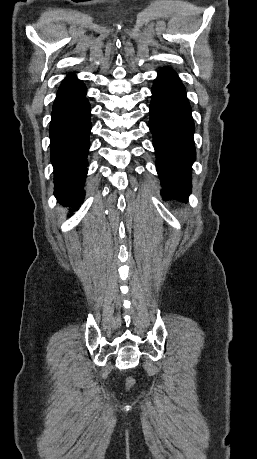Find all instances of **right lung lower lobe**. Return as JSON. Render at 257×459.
Here are the masks:
<instances>
[{"mask_svg": "<svg viewBox=\"0 0 257 459\" xmlns=\"http://www.w3.org/2000/svg\"><path fill=\"white\" fill-rule=\"evenodd\" d=\"M85 96L84 84L69 75L58 89L49 130L54 194L73 211L83 200L82 187L87 175L91 122L90 105Z\"/></svg>", "mask_w": 257, "mask_h": 459, "instance_id": "obj_1", "label": "right lung lower lobe"}]
</instances>
